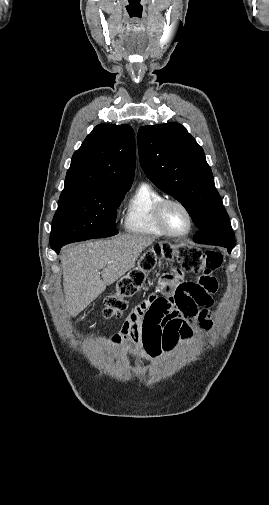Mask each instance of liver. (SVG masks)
I'll use <instances>...</instances> for the list:
<instances>
[{
	"label": "liver",
	"mask_w": 269,
	"mask_h": 505,
	"mask_svg": "<svg viewBox=\"0 0 269 505\" xmlns=\"http://www.w3.org/2000/svg\"><path fill=\"white\" fill-rule=\"evenodd\" d=\"M153 242L154 238L150 236L127 234L111 240L67 246L60 260L65 306L69 315L77 316L107 285L133 268L141 252Z\"/></svg>",
	"instance_id": "1"
}]
</instances>
